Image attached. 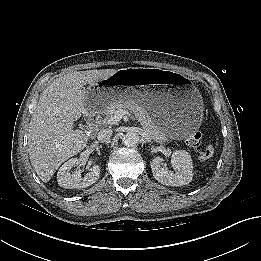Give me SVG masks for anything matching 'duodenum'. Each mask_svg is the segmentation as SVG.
<instances>
[{"label": "duodenum", "mask_w": 261, "mask_h": 261, "mask_svg": "<svg viewBox=\"0 0 261 261\" xmlns=\"http://www.w3.org/2000/svg\"><path fill=\"white\" fill-rule=\"evenodd\" d=\"M88 124L93 128H97L99 126L100 117L97 113H91L88 115Z\"/></svg>", "instance_id": "obj_1"}]
</instances>
